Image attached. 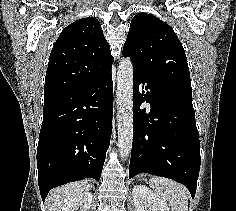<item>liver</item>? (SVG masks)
I'll return each mask as SVG.
<instances>
[{
	"label": "liver",
	"instance_id": "1",
	"mask_svg": "<svg viewBox=\"0 0 236 211\" xmlns=\"http://www.w3.org/2000/svg\"><path fill=\"white\" fill-rule=\"evenodd\" d=\"M91 185L87 181H78L54 188L47 196L48 210L60 211L62 206L77 196L88 192Z\"/></svg>",
	"mask_w": 236,
	"mask_h": 211
}]
</instances>
